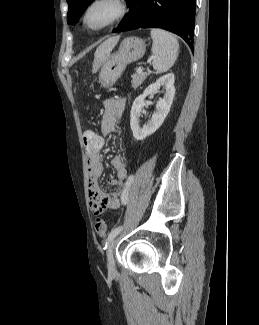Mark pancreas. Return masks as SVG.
Wrapping results in <instances>:
<instances>
[{"label":"pancreas","instance_id":"pancreas-1","mask_svg":"<svg viewBox=\"0 0 259 325\" xmlns=\"http://www.w3.org/2000/svg\"><path fill=\"white\" fill-rule=\"evenodd\" d=\"M147 76H148V73H146V72L133 74L131 76L132 77V81H131L132 87L137 88L138 86H140L143 83V81L147 78Z\"/></svg>","mask_w":259,"mask_h":325}]
</instances>
